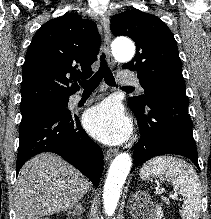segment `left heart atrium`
<instances>
[{
	"label": "left heart atrium",
	"instance_id": "obj_1",
	"mask_svg": "<svg viewBox=\"0 0 211 219\" xmlns=\"http://www.w3.org/2000/svg\"><path fill=\"white\" fill-rule=\"evenodd\" d=\"M86 130L106 144H119L128 139L131 132L129 119L119 105L105 101L89 109L83 118Z\"/></svg>",
	"mask_w": 211,
	"mask_h": 219
}]
</instances>
